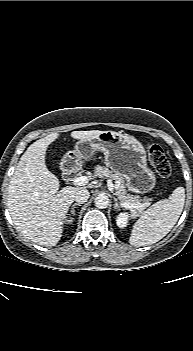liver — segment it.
I'll return each mask as SVG.
<instances>
[{"mask_svg": "<svg viewBox=\"0 0 193 351\" xmlns=\"http://www.w3.org/2000/svg\"><path fill=\"white\" fill-rule=\"evenodd\" d=\"M102 132L73 131L71 137L91 140ZM58 137V133H51L31 144L21 156L8 187L7 204L17 229L34 243L45 246L59 242L74 196L86 188L66 186L59 191L58 178L45 164L46 151Z\"/></svg>", "mask_w": 193, "mask_h": 351, "instance_id": "obj_1", "label": "liver"}]
</instances>
